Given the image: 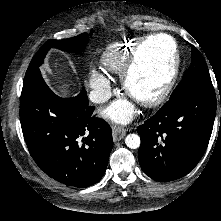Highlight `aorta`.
<instances>
[{"mask_svg":"<svg viewBox=\"0 0 221 221\" xmlns=\"http://www.w3.org/2000/svg\"><path fill=\"white\" fill-rule=\"evenodd\" d=\"M140 143V137L137 134H128L125 138V144L131 149H137Z\"/></svg>","mask_w":221,"mask_h":221,"instance_id":"aorta-1","label":"aorta"}]
</instances>
